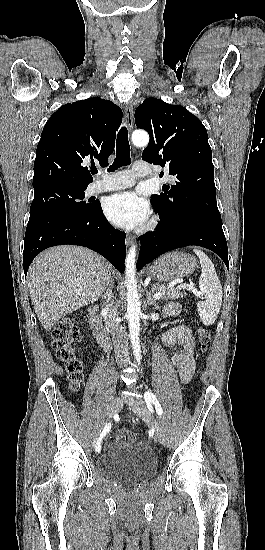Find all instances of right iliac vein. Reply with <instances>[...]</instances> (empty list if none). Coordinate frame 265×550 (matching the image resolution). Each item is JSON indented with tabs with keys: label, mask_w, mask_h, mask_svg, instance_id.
Masks as SVG:
<instances>
[{
	"label": "right iliac vein",
	"mask_w": 265,
	"mask_h": 550,
	"mask_svg": "<svg viewBox=\"0 0 265 550\" xmlns=\"http://www.w3.org/2000/svg\"><path fill=\"white\" fill-rule=\"evenodd\" d=\"M122 406H123L122 399L119 398V397L116 398L110 406L109 417H112V416L116 415L117 413H119L120 410L122 409Z\"/></svg>",
	"instance_id": "obj_1"
}]
</instances>
